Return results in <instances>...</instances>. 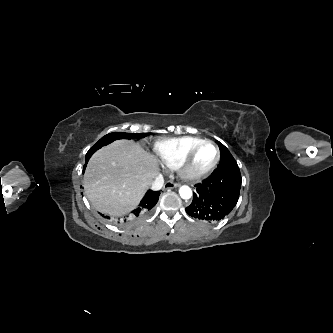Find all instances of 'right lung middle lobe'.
Instances as JSON below:
<instances>
[{"label":"right lung middle lobe","mask_w":333,"mask_h":333,"mask_svg":"<svg viewBox=\"0 0 333 333\" xmlns=\"http://www.w3.org/2000/svg\"><path fill=\"white\" fill-rule=\"evenodd\" d=\"M146 135L147 134H145V133L130 134V133L113 132V133L107 134L104 137H102L89 151L94 153L96 150H98L102 146H105V145H107V144H109V143H111V142H113L114 140H117V139H121V138H126V139L140 138V137H144Z\"/></svg>","instance_id":"obj_1"}]
</instances>
